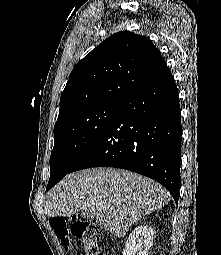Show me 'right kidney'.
I'll return each mask as SVG.
<instances>
[{
	"label": "right kidney",
	"mask_w": 221,
	"mask_h": 255,
	"mask_svg": "<svg viewBox=\"0 0 221 255\" xmlns=\"http://www.w3.org/2000/svg\"><path fill=\"white\" fill-rule=\"evenodd\" d=\"M155 233V230L150 226H137L129 235L123 255H148Z\"/></svg>",
	"instance_id": "1"
}]
</instances>
